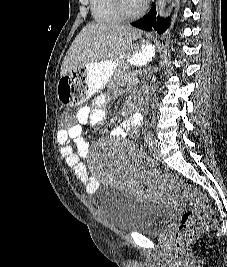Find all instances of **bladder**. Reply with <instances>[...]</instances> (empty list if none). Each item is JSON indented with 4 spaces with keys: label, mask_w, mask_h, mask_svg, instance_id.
I'll return each instance as SVG.
<instances>
[{
    "label": "bladder",
    "mask_w": 227,
    "mask_h": 267,
    "mask_svg": "<svg viewBox=\"0 0 227 267\" xmlns=\"http://www.w3.org/2000/svg\"><path fill=\"white\" fill-rule=\"evenodd\" d=\"M99 205L107 223L125 232L160 235L173 216L156 200L133 197L115 186L102 187Z\"/></svg>",
    "instance_id": "bladder-1"
}]
</instances>
